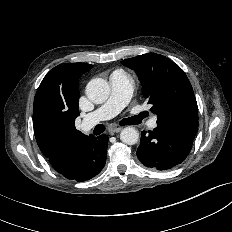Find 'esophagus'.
<instances>
[{"label":"esophagus","instance_id":"34e87169","mask_svg":"<svg viewBox=\"0 0 232 232\" xmlns=\"http://www.w3.org/2000/svg\"><path fill=\"white\" fill-rule=\"evenodd\" d=\"M121 130H122V127H111V128L109 129V133H110L111 135H113V134H115V133L120 132Z\"/></svg>","mask_w":232,"mask_h":232}]
</instances>
